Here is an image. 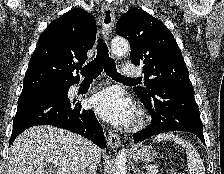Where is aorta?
I'll return each instance as SVG.
<instances>
[{
    "label": "aorta",
    "instance_id": "762f6f07",
    "mask_svg": "<svg viewBox=\"0 0 224 174\" xmlns=\"http://www.w3.org/2000/svg\"><path fill=\"white\" fill-rule=\"evenodd\" d=\"M111 50L117 57H122L129 51V43L125 38L116 37L111 42ZM126 152L122 149L115 159V165L112 170V174H126Z\"/></svg>",
    "mask_w": 224,
    "mask_h": 174
}]
</instances>
